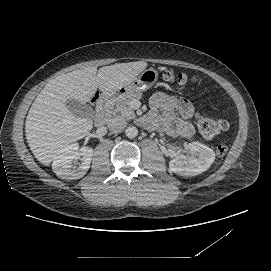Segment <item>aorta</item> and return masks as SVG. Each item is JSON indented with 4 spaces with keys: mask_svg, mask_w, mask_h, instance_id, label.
Listing matches in <instances>:
<instances>
[{
    "mask_svg": "<svg viewBox=\"0 0 271 271\" xmlns=\"http://www.w3.org/2000/svg\"><path fill=\"white\" fill-rule=\"evenodd\" d=\"M125 135L128 138L133 139V138H135L138 135V129L135 126L127 127L125 129Z\"/></svg>",
    "mask_w": 271,
    "mask_h": 271,
    "instance_id": "1",
    "label": "aorta"
}]
</instances>
